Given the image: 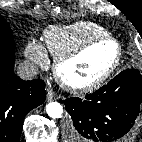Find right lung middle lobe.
<instances>
[{
  "label": "right lung middle lobe",
  "instance_id": "1",
  "mask_svg": "<svg viewBox=\"0 0 142 142\" xmlns=\"http://www.w3.org/2000/svg\"><path fill=\"white\" fill-rule=\"evenodd\" d=\"M16 48L9 23L0 15V52L12 53Z\"/></svg>",
  "mask_w": 142,
  "mask_h": 142
}]
</instances>
